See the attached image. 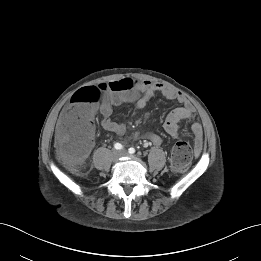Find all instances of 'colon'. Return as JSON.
<instances>
[{"mask_svg":"<svg viewBox=\"0 0 261 261\" xmlns=\"http://www.w3.org/2000/svg\"><path fill=\"white\" fill-rule=\"evenodd\" d=\"M135 86L136 83L132 79L125 78L99 86L83 87L72 95L70 99L72 108L63 116L59 126V131L63 136L59 154L67 166L77 169L87 156L91 143L88 123L102 93L108 91L116 94L121 91H131ZM192 158L193 149L189 141L178 140L171 154L172 168L183 170L191 163Z\"/></svg>","mask_w":261,"mask_h":261,"instance_id":"5ec220e1","label":"colon"}]
</instances>
